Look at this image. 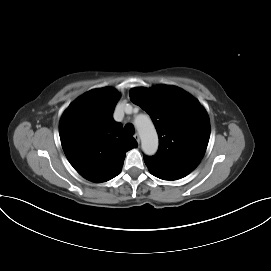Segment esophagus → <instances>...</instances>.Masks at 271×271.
<instances>
[{
    "instance_id": "1",
    "label": "esophagus",
    "mask_w": 271,
    "mask_h": 271,
    "mask_svg": "<svg viewBox=\"0 0 271 271\" xmlns=\"http://www.w3.org/2000/svg\"><path fill=\"white\" fill-rule=\"evenodd\" d=\"M134 138H135V140L137 141V143L139 144V143H140V136H139L138 133H136V134L134 135Z\"/></svg>"
}]
</instances>
